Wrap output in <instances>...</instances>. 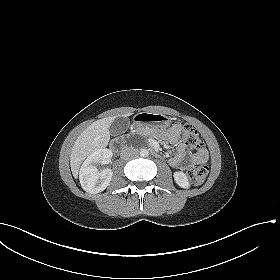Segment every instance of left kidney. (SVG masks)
Here are the masks:
<instances>
[{"instance_id": "left-kidney-1", "label": "left kidney", "mask_w": 280, "mask_h": 280, "mask_svg": "<svg viewBox=\"0 0 280 280\" xmlns=\"http://www.w3.org/2000/svg\"><path fill=\"white\" fill-rule=\"evenodd\" d=\"M174 180L175 182L182 188H189L190 187V183L188 181V178L186 176V174L184 172L181 171H177L174 173Z\"/></svg>"}]
</instances>
